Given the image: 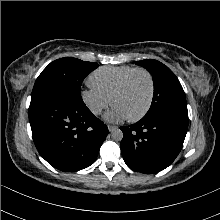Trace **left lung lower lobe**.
<instances>
[{
    "label": "left lung lower lobe",
    "instance_id": "0a47b994",
    "mask_svg": "<svg viewBox=\"0 0 220 220\" xmlns=\"http://www.w3.org/2000/svg\"><path fill=\"white\" fill-rule=\"evenodd\" d=\"M187 128L188 124L171 116H154L120 127L126 165L145 174L164 170L181 151Z\"/></svg>",
    "mask_w": 220,
    "mask_h": 220
}]
</instances>
